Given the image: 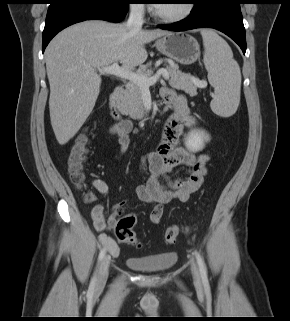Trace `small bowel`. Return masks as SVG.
<instances>
[{
	"label": "small bowel",
	"instance_id": "obj_1",
	"mask_svg": "<svg viewBox=\"0 0 290 321\" xmlns=\"http://www.w3.org/2000/svg\"><path fill=\"white\" fill-rule=\"evenodd\" d=\"M161 96L166 101H175L178 108L167 119L157 149L141 158L140 167L147 172V176L145 182L136 188L139 199L154 204L149 215L150 221L154 224L160 222L164 205L173 200L186 202L191 194L200 188L207 174L206 165L209 160L208 154H194L178 146L182 131L197 125L187 108L185 97L176 94L170 88H163ZM132 128L133 124L129 119H122L109 129L112 135L118 137L120 154L128 148ZM178 167H186L188 171L184 178L174 179L171 174ZM92 185L99 194L107 195L109 187L105 181L95 179ZM122 209L123 203L117 204L113 207L110 216L106 218L104 204H96L91 213L96 230L103 232L107 227H113ZM101 241L112 253H117L118 248L111 239L102 236Z\"/></svg>",
	"mask_w": 290,
	"mask_h": 321
}]
</instances>
